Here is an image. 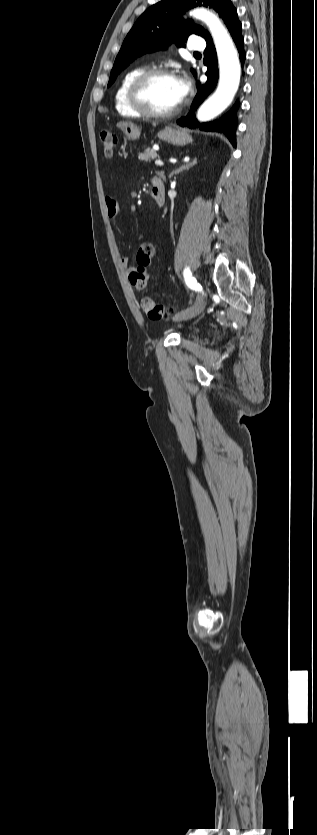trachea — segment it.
<instances>
[{
    "instance_id": "trachea-1",
    "label": "trachea",
    "mask_w": 317,
    "mask_h": 835,
    "mask_svg": "<svg viewBox=\"0 0 317 835\" xmlns=\"http://www.w3.org/2000/svg\"><path fill=\"white\" fill-rule=\"evenodd\" d=\"M199 54H200V53H198V52H195V53H194V55H199Z\"/></svg>"
}]
</instances>
